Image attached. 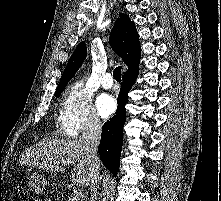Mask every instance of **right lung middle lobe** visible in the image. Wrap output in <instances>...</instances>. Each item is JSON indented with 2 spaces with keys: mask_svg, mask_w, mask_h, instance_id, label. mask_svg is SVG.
<instances>
[{
  "mask_svg": "<svg viewBox=\"0 0 221 201\" xmlns=\"http://www.w3.org/2000/svg\"><path fill=\"white\" fill-rule=\"evenodd\" d=\"M61 92H62V90H61V91H57V92H55V96H56V97H59L60 94H61Z\"/></svg>",
  "mask_w": 221,
  "mask_h": 201,
  "instance_id": "dd1d6c3e",
  "label": "right lung middle lobe"
}]
</instances>
